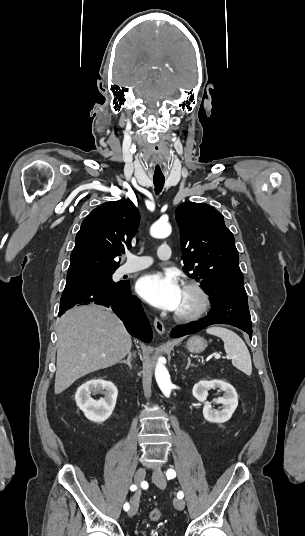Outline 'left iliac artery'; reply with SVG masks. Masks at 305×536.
Masks as SVG:
<instances>
[{"label": "left iliac artery", "instance_id": "1", "mask_svg": "<svg viewBox=\"0 0 305 536\" xmlns=\"http://www.w3.org/2000/svg\"><path fill=\"white\" fill-rule=\"evenodd\" d=\"M166 477H167L168 480L173 479V478L176 477V472H175L173 469H168V470L166 471ZM177 497H178L179 499H182V498L184 497L183 492H182V491H179L178 494H177Z\"/></svg>", "mask_w": 305, "mask_h": 536}]
</instances>
